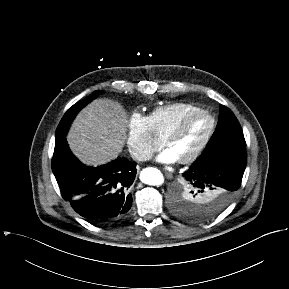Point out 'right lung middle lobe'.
Here are the masks:
<instances>
[{
    "label": "right lung middle lobe",
    "instance_id": "dd1d6c3e",
    "mask_svg": "<svg viewBox=\"0 0 289 289\" xmlns=\"http://www.w3.org/2000/svg\"><path fill=\"white\" fill-rule=\"evenodd\" d=\"M100 91L97 90L93 93V95L89 96L88 98L77 102L74 104L63 116L62 120L60 121L56 133H55V141L61 139L64 137L68 131V128L76 116V114L79 112L80 109H82L85 105H87L89 102H91L99 93Z\"/></svg>",
    "mask_w": 289,
    "mask_h": 289
}]
</instances>
